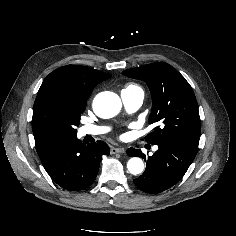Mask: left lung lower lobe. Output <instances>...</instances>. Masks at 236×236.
Masks as SVG:
<instances>
[{
	"mask_svg": "<svg viewBox=\"0 0 236 236\" xmlns=\"http://www.w3.org/2000/svg\"><path fill=\"white\" fill-rule=\"evenodd\" d=\"M158 150L146 159L139 149H128L129 156L147 161L144 173L134 179L135 185L149 194L161 193L174 186L184 176L194 160L198 148L179 142H160Z\"/></svg>",
	"mask_w": 236,
	"mask_h": 236,
	"instance_id": "obj_1",
	"label": "left lung lower lobe"
}]
</instances>
